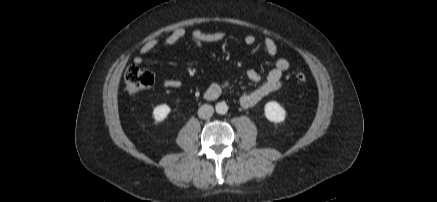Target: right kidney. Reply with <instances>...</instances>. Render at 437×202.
Masks as SVG:
<instances>
[{
  "mask_svg": "<svg viewBox=\"0 0 437 202\" xmlns=\"http://www.w3.org/2000/svg\"><path fill=\"white\" fill-rule=\"evenodd\" d=\"M170 112H171V108L168 105L166 104L158 105L153 109V117L155 121L162 122Z\"/></svg>",
  "mask_w": 437,
  "mask_h": 202,
  "instance_id": "right-kidney-1",
  "label": "right kidney"
}]
</instances>
